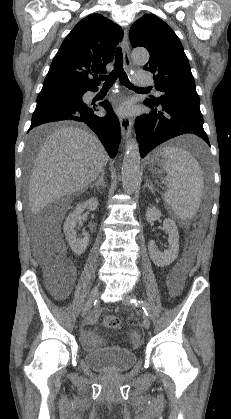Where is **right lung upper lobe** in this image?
I'll list each match as a JSON object with an SVG mask.
<instances>
[{
  "label": "right lung upper lobe",
  "instance_id": "cb5924a9",
  "mask_svg": "<svg viewBox=\"0 0 231 419\" xmlns=\"http://www.w3.org/2000/svg\"><path fill=\"white\" fill-rule=\"evenodd\" d=\"M123 37L120 26L100 14L82 19L63 41L53 59L43 87L52 85L76 89L95 88L98 73L113 60L115 47Z\"/></svg>",
  "mask_w": 231,
  "mask_h": 419
}]
</instances>
